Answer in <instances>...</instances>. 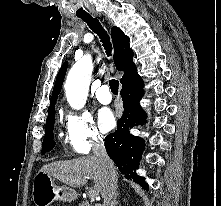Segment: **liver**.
<instances>
[{"label":"liver","instance_id":"1","mask_svg":"<svg viewBox=\"0 0 221 206\" xmlns=\"http://www.w3.org/2000/svg\"><path fill=\"white\" fill-rule=\"evenodd\" d=\"M40 172H43L50 177H54L73 187L83 186L86 184L87 179H93L94 191L101 195L105 192L108 181L107 170L103 168L95 156L54 161L44 165L40 169ZM112 172L118 180V169L114 164Z\"/></svg>","mask_w":221,"mask_h":206}]
</instances>
